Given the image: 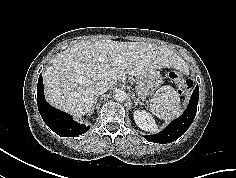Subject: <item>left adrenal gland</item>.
<instances>
[{
	"label": "left adrenal gland",
	"instance_id": "a2214340",
	"mask_svg": "<svg viewBox=\"0 0 236 178\" xmlns=\"http://www.w3.org/2000/svg\"><path fill=\"white\" fill-rule=\"evenodd\" d=\"M133 99H134L135 106H137L138 104L143 105V103L136 97H134Z\"/></svg>",
	"mask_w": 236,
	"mask_h": 178
}]
</instances>
